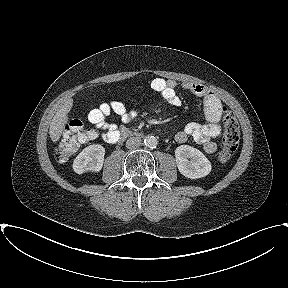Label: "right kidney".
Masks as SVG:
<instances>
[{
  "label": "right kidney",
  "mask_w": 288,
  "mask_h": 288,
  "mask_svg": "<svg viewBox=\"0 0 288 288\" xmlns=\"http://www.w3.org/2000/svg\"><path fill=\"white\" fill-rule=\"evenodd\" d=\"M105 148L100 144L90 145L82 150L73 162L76 173L99 172L104 162Z\"/></svg>",
  "instance_id": "ca27d5eb"
}]
</instances>
